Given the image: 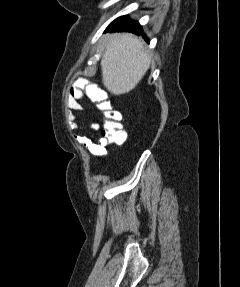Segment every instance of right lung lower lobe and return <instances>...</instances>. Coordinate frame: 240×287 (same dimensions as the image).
I'll use <instances>...</instances> for the list:
<instances>
[{"label":"right lung lower lobe","instance_id":"98d812e1","mask_svg":"<svg viewBox=\"0 0 240 287\" xmlns=\"http://www.w3.org/2000/svg\"><path fill=\"white\" fill-rule=\"evenodd\" d=\"M142 27L137 21L129 19L127 16H122L114 20L106 29V31H126L137 35L141 34ZM143 37L146 36L143 34Z\"/></svg>","mask_w":240,"mask_h":287}]
</instances>
